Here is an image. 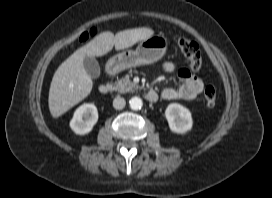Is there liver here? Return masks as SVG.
I'll return each instance as SVG.
<instances>
[{
  "mask_svg": "<svg viewBox=\"0 0 272 198\" xmlns=\"http://www.w3.org/2000/svg\"><path fill=\"white\" fill-rule=\"evenodd\" d=\"M153 34L154 31L146 27L120 31L115 35L105 31L77 49L58 67L52 78L48 97L52 117L58 118L90 94L93 81L83 65L86 56L100 57L113 47L116 50L126 49Z\"/></svg>",
  "mask_w": 272,
  "mask_h": 198,
  "instance_id": "6515ba94",
  "label": "liver"
}]
</instances>
